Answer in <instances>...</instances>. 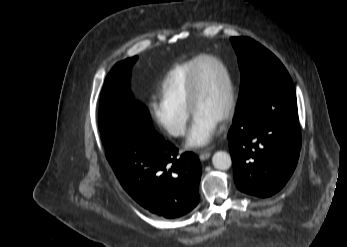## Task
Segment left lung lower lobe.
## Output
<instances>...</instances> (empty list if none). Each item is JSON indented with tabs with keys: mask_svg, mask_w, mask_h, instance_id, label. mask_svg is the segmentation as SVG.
<instances>
[{
	"mask_svg": "<svg viewBox=\"0 0 347 247\" xmlns=\"http://www.w3.org/2000/svg\"><path fill=\"white\" fill-rule=\"evenodd\" d=\"M228 139L239 190L258 197L281 190L297 165L301 148L292 82L267 87L236 112Z\"/></svg>",
	"mask_w": 347,
	"mask_h": 247,
	"instance_id": "left-lung-lower-lobe-1",
	"label": "left lung lower lobe"
}]
</instances>
